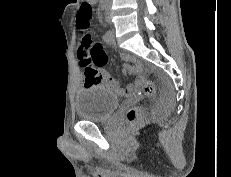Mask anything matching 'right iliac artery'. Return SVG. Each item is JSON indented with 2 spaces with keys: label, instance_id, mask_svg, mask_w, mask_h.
Instances as JSON below:
<instances>
[{
  "label": "right iliac artery",
  "instance_id": "obj_1",
  "mask_svg": "<svg viewBox=\"0 0 231 177\" xmlns=\"http://www.w3.org/2000/svg\"><path fill=\"white\" fill-rule=\"evenodd\" d=\"M105 9H106V2L103 1V2H102V10H105Z\"/></svg>",
  "mask_w": 231,
  "mask_h": 177
}]
</instances>
